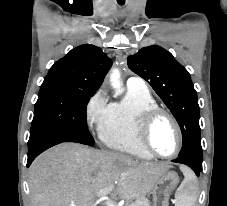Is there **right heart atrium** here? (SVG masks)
<instances>
[{"instance_id":"d8ad5b80","label":"right heart atrium","mask_w":227,"mask_h":206,"mask_svg":"<svg viewBox=\"0 0 227 206\" xmlns=\"http://www.w3.org/2000/svg\"><path fill=\"white\" fill-rule=\"evenodd\" d=\"M109 105L104 89H99L90 97L85 107L86 123L90 129L101 130L108 114Z\"/></svg>"}]
</instances>
